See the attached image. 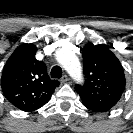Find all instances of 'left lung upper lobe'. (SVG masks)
Here are the masks:
<instances>
[{
	"mask_svg": "<svg viewBox=\"0 0 133 133\" xmlns=\"http://www.w3.org/2000/svg\"><path fill=\"white\" fill-rule=\"evenodd\" d=\"M85 84L76 85L84 106L97 112L110 110L121 98L125 75L118 58L105 46L83 49Z\"/></svg>",
	"mask_w": 133,
	"mask_h": 133,
	"instance_id": "obj_1",
	"label": "left lung upper lobe"
}]
</instances>
